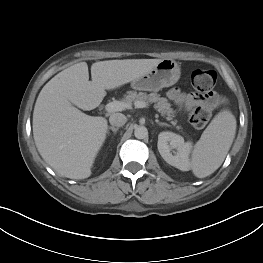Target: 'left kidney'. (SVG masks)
<instances>
[{
	"label": "left kidney",
	"instance_id": "1",
	"mask_svg": "<svg viewBox=\"0 0 263 263\" xmlns=\"http://www.w3.org/2000/svg\"><path fill=\"white\" fill-rule=\"evenodd\" d=\"M157 147L160 155L168 164L182 171L189 170L191 142H185L182 136L166 131L159 134Z\"/></svg>",
	"mask_w": 263,
	"mask_h": 263
}]
</instances>
